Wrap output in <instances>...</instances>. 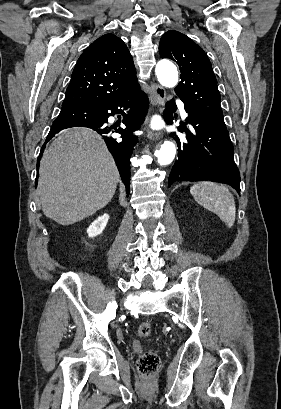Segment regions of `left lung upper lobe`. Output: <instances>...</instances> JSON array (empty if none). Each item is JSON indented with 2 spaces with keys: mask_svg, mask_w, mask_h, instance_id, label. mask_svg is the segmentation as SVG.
Returning <instances> with one entry per match:
<instances>
[{
  "mask_svg": "<svg viewBox=\"0 0 281 409\" xmlns=\"http://www.w3.org/2000/svg\"><path fill=\"white\" fill-rule=\"evenodd\" d=\"M160 56L174 60L181 71L175 88L185 105L224 122L220 93L211 63L203 49L186 35L170 30L160 40Z\"/></svg>",
  "mask_w": 281,
  "mask_h": 409,
  "instance_id": "5c2ea615",
  "label": "left lung upper lobe"
}]
</instances>
